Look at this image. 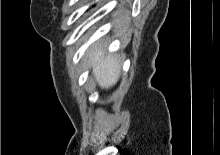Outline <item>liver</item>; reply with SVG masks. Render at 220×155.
<instances>
[{"mask_svg":"<svg viewBox=\"0 0 220 155\" xmlns=\"http://www.w3.org/2000/svg\"><path fill=\"white\" fill-rule=\"evenodd\" d=\"M105 50L95 45L87 52L89 65H94L93 74L101 88L115 85L120 75V63L117 56L104 57Z\"/></svg>","mask_w":220,"mask_h":155,"instance_id":"obj_1","label":"liver"}]
</instances>
